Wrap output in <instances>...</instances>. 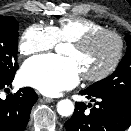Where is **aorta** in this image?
<instances>
[{"mask_svg": "<svg viewBox=\"0 0 131 131\" xmlns=\"http://www.w3.org/2000/svg\"><path fill=\"white\" fill-rule=\"evenodd\" d=\"M63 49L62 44H58L55 47V51L57 53H61ZM57 112L63 116V117H68L73 114L74 112V104L71 100L69 99H64L58 102L57 104Z\"/></svg>", "mask_w": 131, "mask_h": 131, "instance_id": "1", "label": "aorta"}]
</instances>
